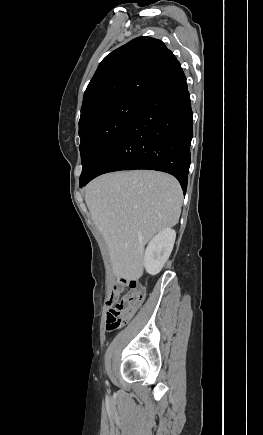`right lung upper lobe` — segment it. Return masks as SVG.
<instances>
[{"mask_svg":"<svg viewBox=\"0 0 263 435\" xmlns=\"http://www.w3.org/2000/svg\"><path fill=\"white\" fill-rule=\"evenodd\" d=\"M181 71L180 63L162 41L133 39L99 64L85 90L79 124L101 105L125 99L145 102Z\"/></svg>","mask_w":263,"mask_h":435,"instance_id":"obj_1","label":"right lung upper lobe"}]
</instances>
